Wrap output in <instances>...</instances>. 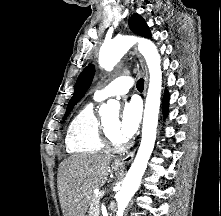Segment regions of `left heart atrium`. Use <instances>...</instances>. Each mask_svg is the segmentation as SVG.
Instances as JSON below:
<instances>
[{
    "label": "left heart atrium",
    "instance_id": "left-heart-atrium-1",
    "mask_svg": "<svg viewBox=\"0 0 221 216\" xmlns=\"http://www.w3.org/2000/svg\"><path fill=\"white\" fill-rule=\"evenodd\" d=\"M141 120V107L138 102L131 101L123 107L117 124V132L121 139H129L137 132Z\"/></svg>",
    "mask_w": 221,
    "mask_h": 216
}]
</instances>
